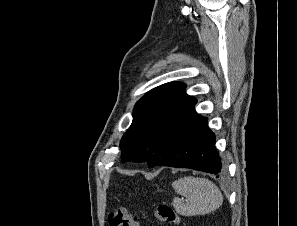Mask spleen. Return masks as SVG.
I'll return each mask as SVG.
<instances>
[{
    "mask_svg": "<svg viewBox=\"0 0 297 226\" xmlns=\"http://www.w3.org/2000/svg\"><path fill=\"white\" fill-rule=\"evenodd\" d=\"M177 194L186 198L175 197L172 205L180 215L189 217L205 215L219 208L223 203L220 189L209 179L186 176L172 183Z\"/></svg>",
    "mask_w": 297,
    "mask_h": 226,
    "instance_id": "obj_1",
    "label": "spleen"
}]
</instances>
